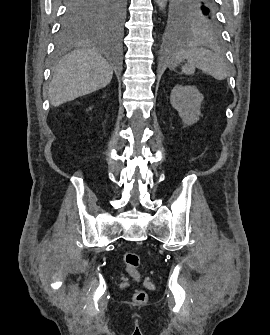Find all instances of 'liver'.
<instances>
[{
	"mask_svg": "<svg viewBox=\"0 0 270 335\" xmlns=\"http://www.w3.org/2000/svg\"><path fill=\"white\" fill-rule=\"evenodd\" d=\"M113 70L97 48H81L59 62L49 86L51 106H61L79 96L108 86Z\"/></svg>",
	"mask_w": 270,
	"mask_h": 335,
	"instance_id": "6515ba94",
	"label": "liver"
}]
</instances>
